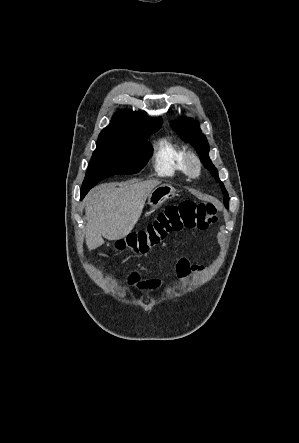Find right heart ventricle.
<instances>
[{
    "instance_id": "e07e8e85",
    "label": "right heart ventricle",
    "mask_w": 299,
    "mask_h": 443,
    "mask_svg": "<svg viewBox=\"0 0 299 443\" xmlns=\"http://www.w3.org/2000/svg\"><path fill=\"white\" fill-rule=\"evenodd\" d=\"M186 149L169 137L161 138L155 146L153 167L161 176L173 177L186 174Z\"/></svg>"
}]
</instances>
